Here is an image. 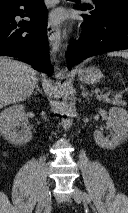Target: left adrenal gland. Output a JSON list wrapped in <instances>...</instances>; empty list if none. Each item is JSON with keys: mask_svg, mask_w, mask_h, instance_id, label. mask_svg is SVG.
<instances>
[{"mask_svg": "<svg viewBox=\"0 0 128 213\" xmlns=\"http://www.w3.org/2000/svg\"><path fill=\"white\" fill-rule=\"evenodd\" d=\"M81 89H82V96H83L84 98L92 97V94L89 93L88 91H86V89H85L83 86L81 87Z\"/></svg>", "mask_w": 128, "mask_h": 213, "instance_id": "obj_1", "label": "left adrenal gland"}]
</instances>
